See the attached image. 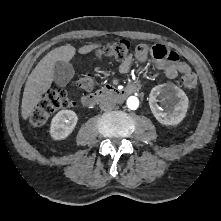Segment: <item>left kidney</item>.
Masks as SVG:
<instances>
[{"label":"left kidney","mask_w":221,"mask_h":221,"mask_svg":"<svg viewBox=\"0 0 221 221\" xmlns=\"http://www.w3.org/2000/svg\"><path fill=\"white\" fill-rule=\"evenodd\" d=\"M158 98L161 107L157 104ZM149 106L159 123L177 125L186 116L189 100L185 92L176 85L161 84L151 90Z\"/></svg>","instance_id":"5707ae66"}]
</instances>
